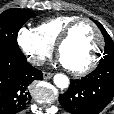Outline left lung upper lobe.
<instances>
[{"label": "left lung upper lobe", "instance_id": "obj_1", "mask_svg": "<svg viewBox=\"0 0 114 114\" xmlns=\"http://www.w3.org/2000/svg\"><path fill=\"white\" fill-rule=\"evenodd\" d=\"M96 25L101 30L104 38H105V49L103 53V58H101L99 65L114 63V42L112 41L109 34L106 32L104 27L97 21H94Z\"/></svg>", "mask_w": 114, "mask_h": 114}]
</instances>
